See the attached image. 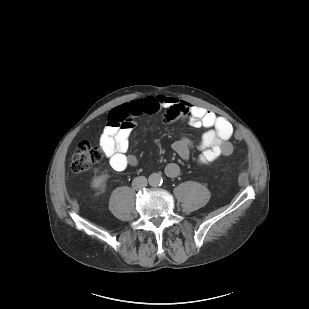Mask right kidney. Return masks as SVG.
I'll list each match as a JSON object with an SVG mask.
<instances>
[{"label":"right kidney","instance_id":"obj_1","mask_svg":"<svg viewBox=\"0 0 309 309\" xmlns=\"http://www.w3.org/2000/svg\"><path fill=\"white\" fill-rule=\"evenodd\" d=\"M106 180H107V176L105 174L97 176L93 178L92 180V187L104 189Z\"/></svg>","mask_w":309,"mask_h":309}]
</instances>
